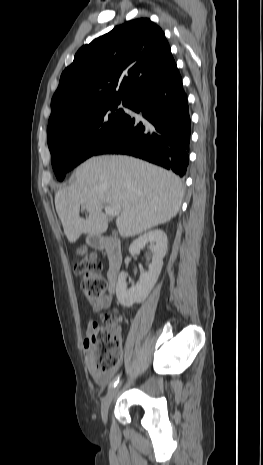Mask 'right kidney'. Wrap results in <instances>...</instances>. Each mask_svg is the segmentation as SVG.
Instances as JSON below:
<instances>
[{
	"instance_id": "right-kidney-1",
	"label": "right kidney",
	"mask_w": 263,
	"mask_h": 465,
	"mask_svg": "<svg viewBox=\"0 0 263 465\" xmlns=\"http://www.w3.org/2000/svg\"><path fill=\"white\" fill-rule=\"evenodd\" d=\"M149 243L151 244L152 263L149 265L148 271L140 275L139 282L127 289V274L122 271L118 276L116 296L119 303L124 307H131L134 303L143 302L153 289L161 273L168 244L167 235L164 231L157 229L141 235L132 242L129 252L136 255Z\"/></svg>"
}]
</instances>
